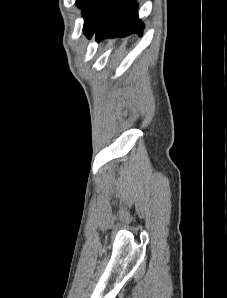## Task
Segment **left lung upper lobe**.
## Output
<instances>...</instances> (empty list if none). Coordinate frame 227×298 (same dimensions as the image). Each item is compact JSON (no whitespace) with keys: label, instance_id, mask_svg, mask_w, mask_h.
Here are the masks:
<instances>
[{"label":"left lung upper lobe","instance_id":"5c2ea615","mask_svg":"<svg viewBox=\"0 0 227 298\" xmlns=\"http://www.w3.org/2000/svg\"><path fill=\"white\" fill-rule=\"evenodd\" d=\"M108 0H76V4L82 9L84 18V33L88 35L96 26L105 10Z\"/></svg>","mask_w":227,"mask_h":298}]
</instances>
